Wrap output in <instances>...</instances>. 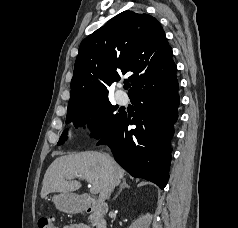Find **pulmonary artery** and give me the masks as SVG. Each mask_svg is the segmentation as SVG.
I'll return each mask as SVG.
<instances>
[{"label":"pulmonary artery","mask_w":238,"mask_h":228,"mask_svg":"<svg viewBox=\"0 0 238 228\" xmlns=\"http://www.w3.org/2000/svg\"><path fill=\"white\" fill-rule=\"evenodd\" d=\"M116 99H117V102L121 105L127 102V96L120 92L116 93Z\"/></svg>","instance_id":"1"}]
</instances>
